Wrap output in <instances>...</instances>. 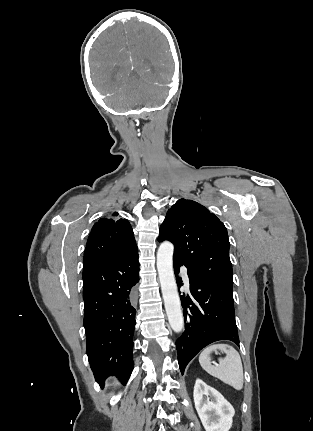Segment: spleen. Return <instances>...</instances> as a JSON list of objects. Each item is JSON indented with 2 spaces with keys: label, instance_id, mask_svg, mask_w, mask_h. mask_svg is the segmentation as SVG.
<instances>
[{
  "label": "spleen",
  "instance_id": "3e777b00",
  "mask_svg": "<svg viewBox=\"0 0 313 431\" xmlns=\"http://www.w3.org/2000/svg\"><path fill=\"white\" fill-rule=\"evenodd\" d=\"M220 350L226 354L225 358L219 359V365L211 364L210 354ZM201 367L211 376L218 378L222 382L232 386L236 390L243 388L244 376L243 366L239 353L228 344H213L205 348L200 356Z\"/></svg>",
  "mask_w": 313,
  "mask_h": 431
}]
</instances>
